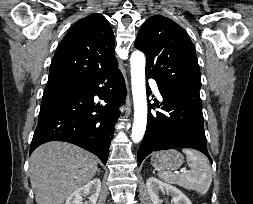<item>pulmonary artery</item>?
<instances>
[{"mask_svg": "<svg viewBox=\"0 0 253 204\" xmlns=\"http://www.w3.org/2000/svg\"><path fill=\"white\" fill-rule=\"evenodd\" d=\"M150 85L153 89V92L155 93L156 96L160 97V93H159V90H158V87L156 85V82L154 80H150Z\"/></svg>", "mask_w": 253, "mask_h": 204, "instance_id": "e3ab8cb5", "label": "pulmonary artery"}]
</instances>
